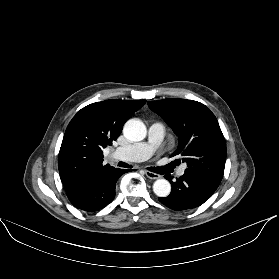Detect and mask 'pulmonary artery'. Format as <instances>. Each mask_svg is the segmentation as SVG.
<instances>
[{"label": "pulmonary artery", "mask_w": 279, "mask_h": 279, "mask_svg": "<svg viewBox=\"0 0 279 279\" xmlns=\"http://www.w3.org/2000/svg\"><path fill=\"white\" fill-rule=\"evenodd\" d=\"M165 127L161 122H154L148 130V140L146 142L137 143L129 147H119L114 150V156L117 159L142 162L147 160L154 150L158 147L163 139ZM185 172V166H181L177 174L182 176Z\"/></svg>", "instance_id": "obj_1"}]
</instances>
